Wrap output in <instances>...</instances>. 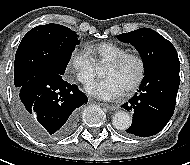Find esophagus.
Instances as JSON below:
<instances>
[{
	"instance_id": "34e87169",
	"label": "esophagus",
	"mask_w": 190,
	"mask_h": 165,
	"mask_svg": "<svg viewBox=\"0 0 190 165\" xmlns=\"http://www.w3.org/2000/svg\"><path fill=\"white\" fill-rule=\"evenodd\" d=\"M99 105L106 107L109 110H117L118 109V107L116 105H113V104L99 103Z\"/></svg>"
}]
</instances>
